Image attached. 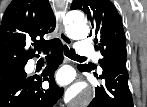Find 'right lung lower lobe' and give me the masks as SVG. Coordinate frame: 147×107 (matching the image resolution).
<instances>
[{
  "instance_id": "right-lung-lower-lobe-1",
  "label": "right lung lower lobe",
  "mask_w": 147,
  "mask_h": 107,
  "mask_svg": "<svg viewBox=\"0 0 147 107\" xmlns=\"http://www.w3.org/2000/svg\"><path fill=\"white\" fill-rule=\"evenodd\" d=\"M61 41L46 48L47 66L40 76L14 78L0 85V107H53L64 89L55 84L54 72L62 63ZM49 82V89L41 90V83Z\"/></svg>"
}]
</instances>
